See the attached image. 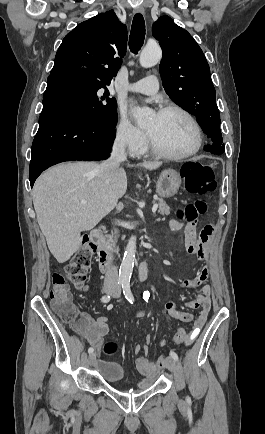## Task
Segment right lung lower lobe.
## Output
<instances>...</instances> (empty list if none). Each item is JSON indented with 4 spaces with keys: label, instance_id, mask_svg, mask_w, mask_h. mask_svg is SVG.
<instances>
[{
    "label": "right lung lower lobe",
    "instance_id": "right-lung-lower-lobe-1",
    "mask_svg": "<svg viewBox=\"0 0 265 434\" xmlns=\"http://www.w3.org/2000/svg\"><path fill=\"white\" fill-rule=\"evenodd\" d=\"M114 138V128L92 124L61 102H43L32 144L31 187L42 171L57 163L106 159Z\"/></svg>",
    "mask_w": 265,
    "mask_h": 434
}]
</instances>
